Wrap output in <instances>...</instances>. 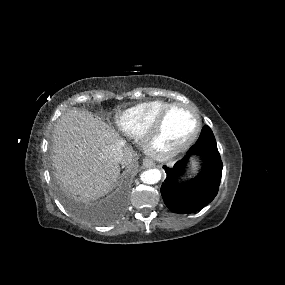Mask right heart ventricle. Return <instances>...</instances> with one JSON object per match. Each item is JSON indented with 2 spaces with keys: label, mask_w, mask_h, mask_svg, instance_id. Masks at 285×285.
Returning <instances> with one entry per match:
<instances>
[{
  "label": "right heart ventricle",
  "mask_w": 285,
  "mask_h": 285,
  "mask_svg": "<svg viewBox=\"0 0 285 285\" xmlns=\"http://www.w3.org/2000/svg\"><path fill=\"white\" fill-rule=\"evenodd\" d=\"M171 104L165 100H152L134 105L119 114L117 126L128 136L142 138L161 112Z\"/></svg>",
  "instance_id": "right-heart-ventricle-1"
}]
</instances>
